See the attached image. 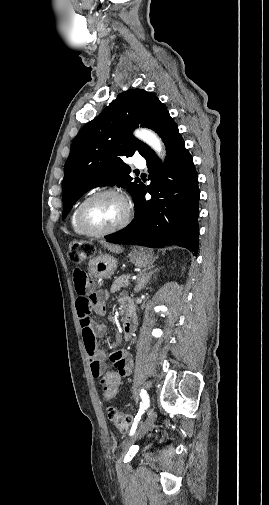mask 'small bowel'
<instances>
[{"mask_svg":"<svg viewBox=\"0 0 269 505\" xmlns=\"http://www.w3.org/2000/svg\"><path fill=\"white\" fill-rule=\"evenodd\" d=\"M72 271L74 272V291L76 294L75 310L78 313L91 372L94 377H100L105 368L106 354L96 345L95 338L105 334L106 325L103 323H94L92 315H101L104 312V307L102 306L101 298H97L88 289L89 283L87 282L86 269L81 268L79 264H74ZM109 360L120 379L131 375L133 359L128 351L124 349L116 350L109 355Z\"/></svg>","mask_w":269,"mask_h":505,"instance_id":"1","label":"small bowel"}]
</instances>
